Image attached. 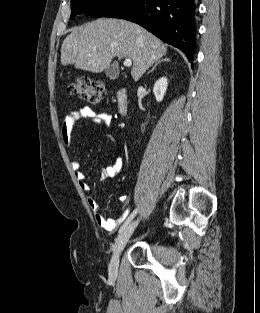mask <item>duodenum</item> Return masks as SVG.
<instances>
[{"label": "duodenum", "mask_w": 260, "mask_h": 313, "mask_svg": "<svg viewBox=\"0 0 260 313\" xmlns=\"http://www.w3.org/2000/svg\"><path fill=\"white\" fill-rule=\"evenodd\" d=\"M117 108L121 115H125L129 109L128 92L126 88H119L116 93Z\"/></svg>", "instance_id": "duodenum-1"}]
</instances>
